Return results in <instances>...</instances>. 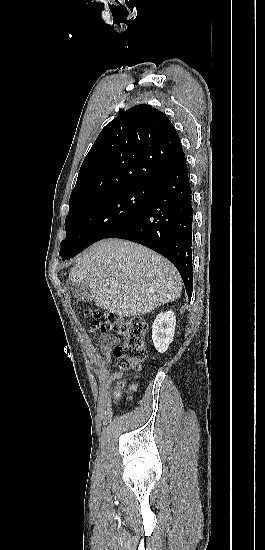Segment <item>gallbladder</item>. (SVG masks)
I'll return each mask as SVG.
<instances>
[{
	"mask_svg": "<svg viewBox=\"0 0 265 550\" xmlns=\"http://www.w3.org/2000/svg\"><path fill=\"white\" fill-rule=\"evenodd\" d=\"M70 287L74 295L84 302H90L92 300V291L85 284H77L70 282Z\"/></svg>",
	"mask_w": 265,
	"mask_h": 550,
	"instance_id": "gallbladder-1",
	"label": "gallbladder"
}]
</instances>
